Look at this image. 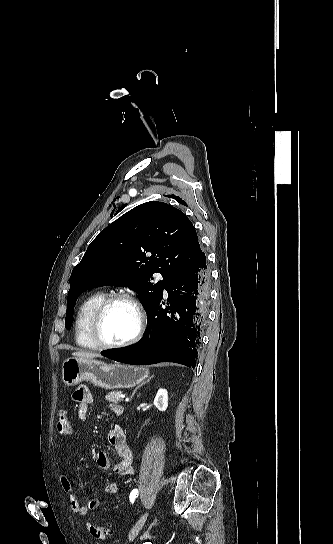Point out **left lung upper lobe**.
I'll return each mask as SVG.
<instances>
[{"label":"left lung upper lobe","instance_id":"obj_1","mask_svg":"<svg viewBox=\"0 0 333 544\" xmlns=\"http://www.w3.org/2000/svg\"><path fill=\"white\" fill-rule=\"evenodd\" d=\"M201 252L193 224L179 209L163 202L133 208L100 232L73 269L65 327L71 328L79 295L103 285L129 286L148 310ZM154 273L163 279L153 282Z\"/></svg>","mask_w":333,"mask_h":544}]
</instances>
